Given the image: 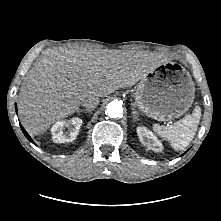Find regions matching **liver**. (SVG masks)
I'll return each instance as SVG.
<instances>
[{"mask_svg":"<svg viewBox=\"0 0 221 221\" xmlns=\"http://www.w3.org/2000/svg\"><path fill=\"white\" fill-rule=\"evenodd\" d=\"M162 62L153 53L106 49L48 52L22 84L19 114L25 129L39 135L78 110L88 95L105 97L130 87Z\"/></svg>","mask_w":221,"mask_h":221,"instance_id":"1","label":"liver"}]
</instances>
